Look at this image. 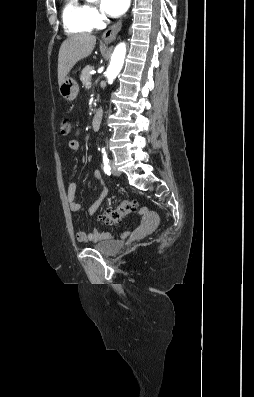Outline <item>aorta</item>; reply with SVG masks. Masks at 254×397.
Returning <instances> with one entry per match:
<instances>
[{"instance_id": "aorta-1", "label": "aorta", "mask_w": 254, "mask_h": 397, "mask_svg": "<svg viewBox=\"0 0 254 397\" xmlns=\"http://www.w3.org/2000/svg\"><path fill=\"white\" fill-rule=\"evenodd\" d=\"M87 1L95 2L96 0H87ZM125 55H126L125 43L118 44L112 54L111 62L106 72V76L109 81H113L120 72L124 63Z\"/></svg>"}]
</instances>
